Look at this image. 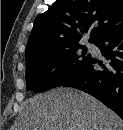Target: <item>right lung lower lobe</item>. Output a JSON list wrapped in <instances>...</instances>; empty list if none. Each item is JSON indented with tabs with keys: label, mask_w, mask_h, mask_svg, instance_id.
Returning a JSON list of instances; mask_svg holds the SVG:
<instances>
[{
	"label": "right lung lower lobe",
	"mask_w": 123,
	"mask_h": 130,
	"mask_svg": "<svg viewBox=\"0 0 123 130\" xmlns=\"http://www.w3.org/2000/svg\"><path fill=\"white\" fill-rule=\"evenodd\" d=\"M106 59L105 64L88 60L60 85L82 90L111 108L123 119V26L94 42ZM97 64L102 68L97 69Z\"/></svg>",
	"instance_id": "obj_1"
}]
</instances>
